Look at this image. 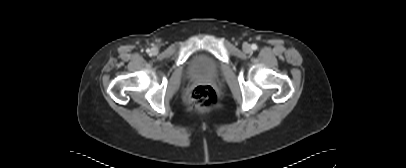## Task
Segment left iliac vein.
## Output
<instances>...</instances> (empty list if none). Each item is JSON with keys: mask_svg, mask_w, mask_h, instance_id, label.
I'll list each match as a JSON object with an SVG mask.
<instances>
[{"mask_svg": "<svg viewBox=\"0 0 406 168\" xmlns=\"http://www.w3.org/2000/svg\"><path fill=\"white\" fill-rule=\"evenodd\" d=\"M243 51H244L245 53H250V52H251V46H250L248 43H245V44L243 45Z\"/></svg>", "mask_w": 406, "mask_h": 168, "instance_id": "1", "label": "left iliac vein"}]
</instances>
